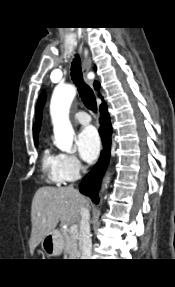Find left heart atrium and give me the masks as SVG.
I'll return each instance as SVG.
<instances>
[{"label":"left heart atrium","instance_id":"1","mask_svg":"<svg viewBox=\"0 0 175 287\" xmlns=\"http://www.w3.org/2000/svg\"><path fill=\"white\" fill-rule=\"evenodd\" d=\"M76 146L81 158L86 162H93L100 151V139L94 128L83 129L76 138Z\"/></svg>","mask_w":175,"mask_h":287}]
</instances>
